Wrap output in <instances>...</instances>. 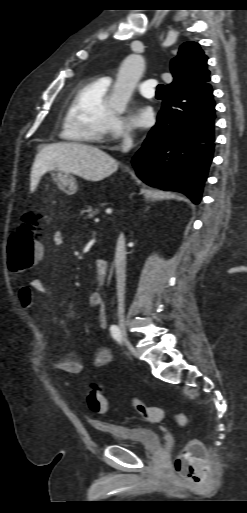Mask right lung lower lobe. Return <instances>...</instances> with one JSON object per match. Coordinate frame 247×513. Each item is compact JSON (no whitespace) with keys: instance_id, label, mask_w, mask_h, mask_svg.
I'll return each mask as SVG.
<instances>
[{"instance_id":"obj_1","label":"right lung lower lobe","mask_w":247,"mask_h":513,"mask_svg":"<svg viewBox=\"0 0 247 513\" xmlns=\"http://www.w3.org/2000/svg\"><path fill=\"white\" fill-rule=\"evenodd\" d=\"M214 120L210 84L196 92L166 91L156 125L132 160L138 177L199 203L214 151Z\"/></svg>"}]
</instances>
